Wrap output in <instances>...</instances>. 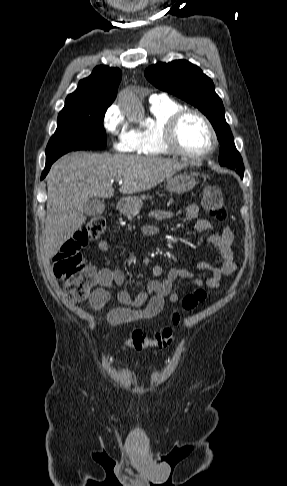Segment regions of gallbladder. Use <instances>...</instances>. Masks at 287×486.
<instances>
[{
  "label": "gallbladder",
  "mask_w": 287,
  "mask_h": 486,
  "mask_svg": "<svg viewBox=\"0 0 287 486\" xmlns=\"http://www.w3.org/2000/svg\"><path fill=\"white\" fill-rule=\"evenodd\" d=\"M105 210V204L98 198H91L84 206V213L88 217L99 216Z\"/></svg>",
  "instance_id": "gallbladder-1"
}]
</instances>
